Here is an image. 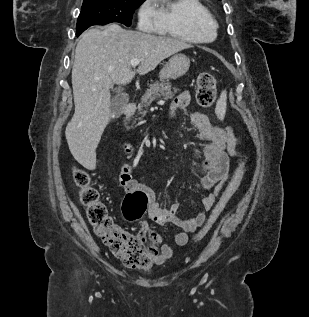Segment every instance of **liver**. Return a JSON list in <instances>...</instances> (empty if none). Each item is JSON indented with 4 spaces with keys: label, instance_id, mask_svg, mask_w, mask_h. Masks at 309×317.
<instances>
[{
    "label": "liver",
    "instance_id": "liver-1",
    "mask_svg": "<svg viewBox=\"0 0 309 317\" xmlns=\"http://www.w3.org/2000/svg\"><path fill=\"white\" fill-rule=\"evenodd\" d=\"M192 46L174 38L125 30L118 24L87 30L77 43L72 68L75 113L65 136L73 157L86 169L96 167V149L110 122L114 84L131 82V60L145 75L169 56Z\"/></svg>",
    "mask_w": 309,
    "mask_h": 317
}]
</instances>
